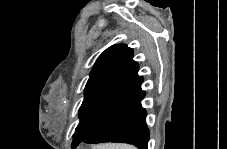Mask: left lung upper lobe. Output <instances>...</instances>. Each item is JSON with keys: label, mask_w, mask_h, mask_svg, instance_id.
Wrapping results in <instances>:
<instances>
[{"label": "left lung upper lobe", "mask_w": 227, "mask_h": 149, "mask_svg": "<svg viewBox=\"0 0 227 149\" xmlns=\"http://www.w3.org/2000/svg\"><path fill=\"white\" fill-rule=\"evenodd\" d=\"M138 69L137 62L133 60V50L125 44L113 45L102 52L85 86V97L79 109L80 122L73 135V148L82 143L112 109Z\"/></svg>", "instance_id": "obj_1"}]
</instances>
